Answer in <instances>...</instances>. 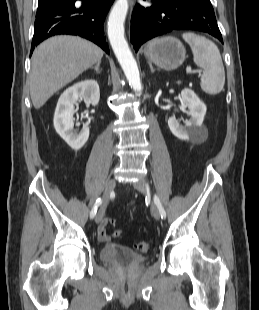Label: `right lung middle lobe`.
<instances>
[{"label":"right lung middle lobe","instance_id":"dd1d6c3e","mask_svg":"<svg viewBox=\"0 0 259 310\" xmlns=\"http://www.w3.org/2000/svg\"><path fill=\"white\" fill-rule=\"evenodd\" d=\"M67 0H38V8H44L49 5H56L61 3H66Z\"/></svg>","mask_w":259,"mask_h":310}]
</instances>
